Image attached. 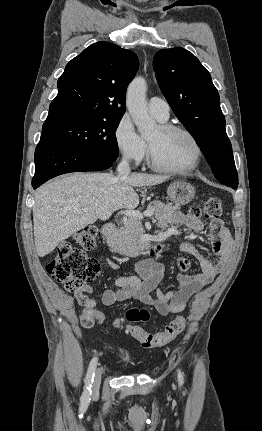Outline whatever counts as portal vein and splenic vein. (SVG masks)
Returning a JSON list of instances; mask_svg holds the SVG:
<instances>
[{"label":"portal vein and splenic vein","instance_id":"obj_1","mask_svg":"<svg viewBox=\"0 0 262 431\" xmlns=\"http://www.w3.org/2000/svg\"><path fill=\"white\" fill-rule=\"evenodd\" d=\"M85 211L87 210V208L84 209ZM121 214H123L124 216L128 217V218H134V219H142L143 216L146 217H152L153 216V212L151 211H146L144 213H139L138 211L135 210H124L120 212ZM127 220V218H125V221Z\"/></svg>","mask_w":262,"mask_h":431}]
</instances>
